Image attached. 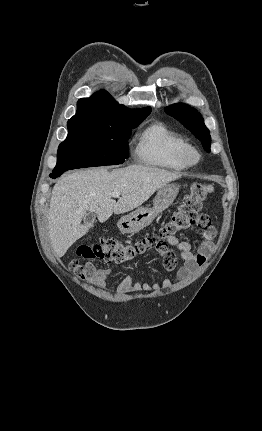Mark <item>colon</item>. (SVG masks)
Instances as JSON below:
<instances>
[{
    "label": "colon",
    "mask_w": 262,
    "mask_h": 431,
    "mask_svg": "<svg viewBox=\"0 0 262 431\" xmlns=\"http://www.w3.org/2000/svg\"><path fill=\"white\" fill-rule=\"evenodd\" d=\"M213 192L211 185L194 183L184 195L171 218L156 233L142 237L133 243H123L110 238H101L92 243L82 244L71 259L69 265L82 276L90 269L89 261L101 260L108 263H125L147 251L154 250L161 254L171 253L168 249V237L198 221L199 213L207 197Z\"/></svg>",
    "instance_id": "colon-1"
}]
</instances>
